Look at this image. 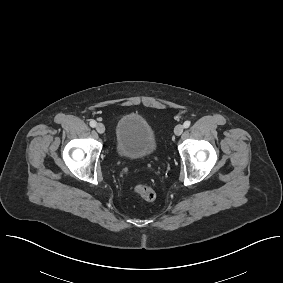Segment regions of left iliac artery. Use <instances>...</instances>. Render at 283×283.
I'll list each match as a JSON object with an SVG mask.
<instances>
[{
    "instance_id": "44dca946",
    "label": "left iliac artery",
    "mask_w": 283,
    "mask_h": 283,
    "mask_svg": "<svg viewBox=\"0 0 283 283\" xmlns=\"http://www.w3.org/2000/svg\"><path fill=\"white\" fill-rule=\"evenodd\" d=\"M183 126L184 128H188L190 126V121H185Z\"/></svg>"
}]
</instances>
